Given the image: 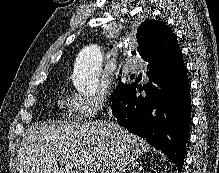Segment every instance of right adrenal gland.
Instances as JSON below:
<instances>
[{
  "instance_id": "2a0ac1e0",
  "label": "right adrenal gland",
  "mask_w": 219,
  "mask_h": 173,
  "mask_svg": "<svg viewBox=\"0 0 219 173\" xmlns=\"http://www.w3.org/2000/svg\"><path fill=\"white\" fill-rule=\"evenodd\" d=\"M135 168H137V163H134V164L132 165V167L129 168V169H127V171H126L125 173H129L131 170L134 171ZM139 170H141V167L139 168Z\"/></svg>"
}]
</instances>
